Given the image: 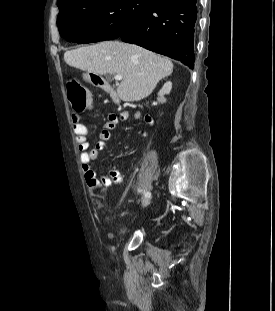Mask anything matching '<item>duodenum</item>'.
I'll use <instances>...</instances> for the list:
<instances>
[{"instance_id":"obj_1","label":"duodenum","mask_w":275,"mask_h":311,"mask_svg":"<svg viewBox=\"0 0 275 311\" xmlns=\"http://www.w3.org/2000/svg\"><path fill=\"white\" fill-rule=\"evenodd\" d=\"M89 74H90L89 79L92 82V84L97 85L98 87L109 93L113 98L115 99L117 98L116 92L106 81H104L101 74H94L93 70H90Z\"/></svg>"}]
</instances>
